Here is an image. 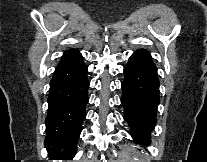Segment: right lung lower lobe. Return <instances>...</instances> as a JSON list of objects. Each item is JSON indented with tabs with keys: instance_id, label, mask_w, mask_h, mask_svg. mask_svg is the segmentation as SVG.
I'll use <instances>...</instances> for the list:
<instances>
[{
	"instance_id": "obj_1",
	"label": "right lung lower lobe",
	"mask_w": 207,
	"mask_h": 162,
	"mask_svg": "<svg viewBox=\"0 0 207 162\" xmlns=\"http://www.w3.org/2000/svg\"><path fill=\"white\" fill-rule=\"evenodd\" d=\"M88 68L79 54L61 61L50 82L45 145L50 160H72L88 102Z\"/></svg>"
}]
</instances>
